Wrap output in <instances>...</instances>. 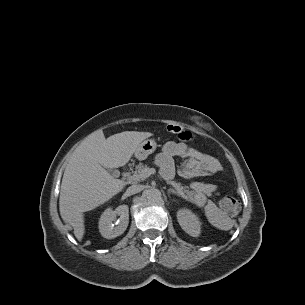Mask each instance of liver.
I'll list each match as a JSON object with an SVG mask.
<instances>
[{
  "instance_id": "1",
  "label": "liver",
  "mask_w": 305,
  "mask_h": 305,
  "mask_svg": "<svg viewBox=\"0 0 305 305\" xmlns=\"http://www.w3.org/2000/svg\"><path fill=\"white\" fill-rule=\"evenodd\" d=\"M152 135L150 132L124 131L106 139L103 131L97 130L74 150L62 178L59 210L63 221L73 227L78 240L85 233L83 213L107 202L126 185L105 168L124 166L138 145Z\"/></svg>"
}]
</instances>
